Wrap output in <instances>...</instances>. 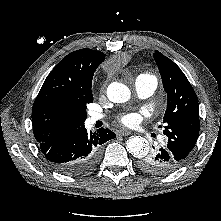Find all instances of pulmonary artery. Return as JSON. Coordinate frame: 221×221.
<instances>
[{
    "label": "pulmonary artery",
    "mask_w": 221,
    "mask_h": 221,
    "mask_svg": "<svg viewBox=\"0 0 221 221\" xmlns=\"http://www.w3.org/2000/svg\"><path fill=\"white\" fill-rule=\"evenodd\" d=\"M157 88V81L152 76L140 75L135 81V91L140 98H148L152 96ZM103 118L100 113H91L88 121L90 124Z\"/></svg>",
    "instance_id": "obj_1"
}]
</instances>
